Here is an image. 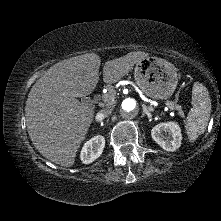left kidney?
Returning <instances> with one entry per match:
<instances>
[{"label":"left kidney","mask_w":221,"mask_h":221,"mask_svg":"<svg viewBox=\"0 0 221 221\" xmlns=\"http://www.w3.org/2000/svg\"><path fill=\"white\" fill-rule=\"evenodd\" d=\"M163 132L168 133L165 136ZM153 140L166 151H175L181 146L182 135L176 122L160 123L151 130Z\"/></svg>","instance_id":"1"}]
</instances>
